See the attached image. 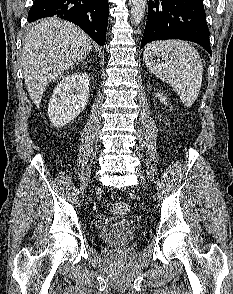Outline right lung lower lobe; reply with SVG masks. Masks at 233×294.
<instances>
[{"label": "right lung lower lobe", "mask_w": 233, "mask_h": 294, "mask_svg": "<svg viewBox=\"0 0 233 294\" xmlns=\"http://www.w3.org/2000/svg\"><path fill=\"white\" fill-rule=\"evenodd\" d=\"M109 5L107 0H35L28 22L57 16L81 27L95 42L106 40Z\"/></svg>", "instance_id": "right-lung-lower-lobe-1"}]
</instances>
